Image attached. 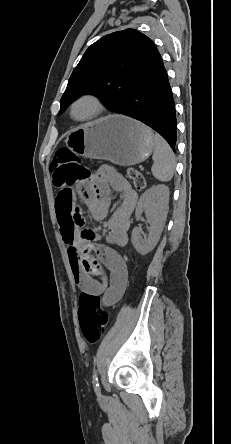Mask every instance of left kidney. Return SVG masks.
<instances>
[{"mask_svg": "<svg viewBox=\"0 0 231 444\" xmlns=\"http://www.w3.org/2000/svg\"><path fill=\"white\" fill-rule=\"evenodd\" d=\"M168 202L169 188L164 184L152 186L140 197L135 212L136 219L145 211L150 228L145 238L140 236L138 227L132 231L131 241L139 254L146 255L157 245L166 221Z\"/></svg>", "mask_w": 231, "mask_h": 444, "instance_id": "5707ae66", "label": "left kidney"}]
</instances>
